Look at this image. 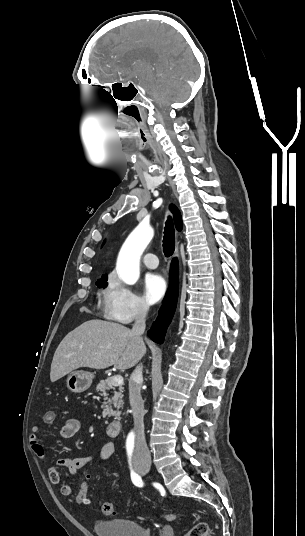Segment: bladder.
<instances>
[{"label":"bladder","instance_id":"31cf9c89","mask_svg":"<svg viewBox=\"0 0 305 536\" xmlns=\"http://www.w3.org/2000/svg\"><path fill=\"white\" fill-rule=\"evenodd\" d=\"M93 532L96 536H151L138 521L114 517L94 520Z\"/></svg>","mask_w":305,"mask_h":536}]
</instances>
